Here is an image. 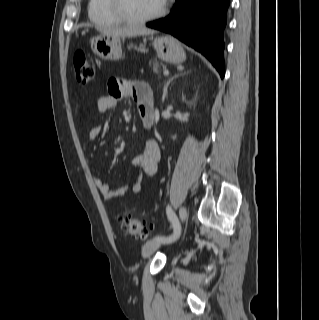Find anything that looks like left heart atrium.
Instances as JSON below:
<instances>
[{"label":"left heart atrium","instance_id":"39dd6f15","mask_svg":"<svg viewBox=\"0 0 319 320\" xmlns=\"http://www.w3.org/2000/svg\"><path fill=\"white\" fill-rule=\"evenodd\" d=\"M166 0H161L162 3H164Z\"/></svg>","mask_w":319,"mask_h":320}]
</instances>
